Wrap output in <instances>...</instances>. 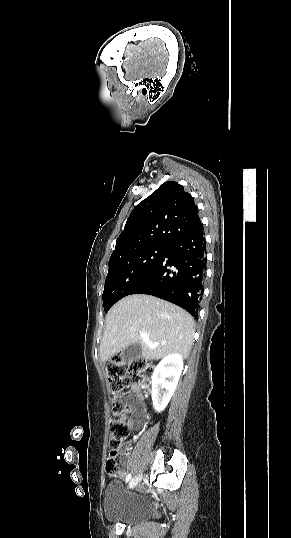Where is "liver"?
I'll return each mask as SVG.
<instances>
[{
  "mask_svg": "<svg viewBox=\"0 0 291 538\" xmlns=\"http://www.w3.org/2000/svg\"><path fill=\"white\" fill-rule=\"evenodd\" d=\"M100 343L102 362L139 343L143 358L158 360L171 353L187 358L194 340V319L182 308L145 294L127 296L106 315ZM148 335L149 343L140 337Z\"/></svg>",
  "mask_w": 291,
  "mask_h": 538,
  "instance_id": "liver-1",
  "label": "liver"
}]
</instances>
